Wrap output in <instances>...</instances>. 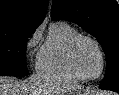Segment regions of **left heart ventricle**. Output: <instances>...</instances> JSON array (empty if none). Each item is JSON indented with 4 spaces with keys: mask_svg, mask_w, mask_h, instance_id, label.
<instances>
[{
    "mask_svg": "<svg viewBox=\"0 0 119 95\" xmlns=\"http://www.w3.org/2000/svg\"><path fill=\"white\" fill-rule=\"evenodd\" d=\"M75 62L80 72L86 76H96L101 68V56L96 46L89 41H81L76 49Z\"/></svg>",
    "mask_w": 119,
    "mask_h": 95,
    "instance_id": "1",
    "label": "left heart ventricle"
}]
</instances>
